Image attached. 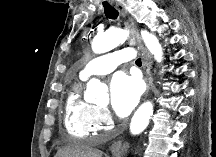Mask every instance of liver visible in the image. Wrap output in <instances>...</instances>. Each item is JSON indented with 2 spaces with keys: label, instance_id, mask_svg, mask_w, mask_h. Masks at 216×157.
I'll use <instances>...</instances> for the list:
<instances>
[{
  "label": "liver",
  "instance_id": "liver-1",
  "mask_svg": "<svg viewBox=\"0 0 216 157\" xmlns=\"http://www.w3.org/2000/svg\"><path fill=\"white\" fill-rule=\"evenodd\" d=\"M57 157H102V153L93 150L83 143H73L72 145L60 150Z\"/></svg>",
  "mask_w": 216,
  "mask_h": 157
}]
</instances>
